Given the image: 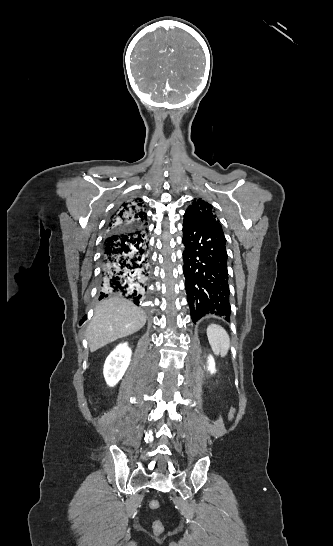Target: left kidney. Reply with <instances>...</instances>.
<instances>
[{
  "instance_id": "5707ae66",
  "label": "left kidney",
  "mask_w": 333,
  "mask_h": 546,
  "mask_svg": "<svg viewBox=\"0 0 333 546\" xmlns=\"http://www.w3.org/2000/svg\"><path fill=\"white\" fill-rule=\"evenodd\" d=\"M207 363V369L210 371L211 374H213L215 372V361L211 355L208 356Z\"/></svg>"
}]
</instances>
